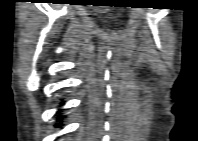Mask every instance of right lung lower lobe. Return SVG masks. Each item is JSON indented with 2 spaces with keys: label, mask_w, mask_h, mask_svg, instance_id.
I'll return each mask as SVG.
<instances>
[{
  "label": "right lung lower lobe",
  "mask_w": 198,
  "mask_h": 141,
  "mask_svg": "<svg viewBox=\"0 0 198 141\" xmlns=\"http://www.w3.org/2000/svg\"><path fill=\"white\" fill-rule=\"evenodd\" d=\"M61 104H64V103H61ZM58 114H60V111H58ZM59 120H60V118H59Z\"/></svg>",
  "instance_id": "98d812e1"
}]
</instances>
